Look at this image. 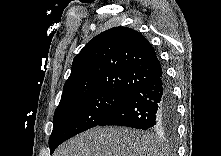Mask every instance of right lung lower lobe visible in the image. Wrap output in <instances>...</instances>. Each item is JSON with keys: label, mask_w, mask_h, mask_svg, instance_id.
Wrapping results in <instances>:
<instances>
[{"label": "right lung lower lobe", "mask_w": 221, "mask_h": 156, "mask_svg": "<svg viewBox=\"0 0 221 156\" xmlns=\"http://www.w3.org/2000/svg\"><path fill=\"white\" fill-rule=\"evenodd\" d=\"M177 113L170 83L164 73L146 83L105 120L103 125L173 132Z\"/></svg>", "instance_id": "98d812e1"}]
</instances>
